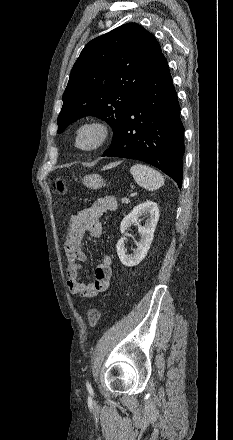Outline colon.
<instances>
[{"mask_svg": "<svg viewBox=\"0 0 233 440\" xmlns=\"http://www.w3.org/2000/svg\"><path fill=\"white\" fill-rule=\"evenodd\" d=\"M52 185H53V189L58 194H61V195L66 194L67 182L63 176L55 177L53 179ZM100 317H101V313H100L99 309H97L96 307H92L88 310L87 319H88L89 325H91V326L96 325L98 323V321L100 320Z\"/></svg>", "mask_w": 233, "mask_h": 440, "instance_id": "1", "label": "colon"}]
</instances>
